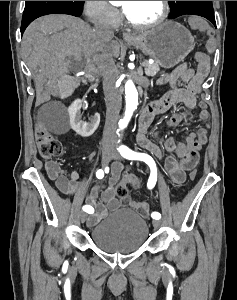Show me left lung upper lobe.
<instances>
[{"instance_id": "1", "label": "left lung upper lobe", "mask_w": 237, "mask_h": 300, "mask_svg": "<svg viewBox=\"0 0 237 300\" xmlns=\"http://www.w3.org/2000/svg\"><path fill=\"white\" fill-rule=\"evenodd\" d=\"M171 6L170 18L181 15L214 14L212 1H169Z\"/></svg>"}]
</instances>
